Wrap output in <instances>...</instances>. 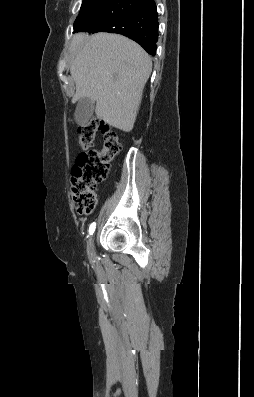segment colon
<instances>
[{
    "label": "colon",
    "mask_w": 254,
    "mask_h": 397,
    "mask_svg": "<svg viewBox=\"0 0 254 397\" xmlns=\"http://www.w3.org/2000/svg\"><path fill=\"white\" fill-rule=\"evenodd\" d=\"M103 136V147L91 149L96 134ZM78 143L83 151L72 169L71 187L75 209L79 214H91L97 203L95 190L110 170V162L119 153V135L103 120L93 117L78 128Z\"/></svg>",
    "instance_id": "5ec220e1"
}]
</instances>
